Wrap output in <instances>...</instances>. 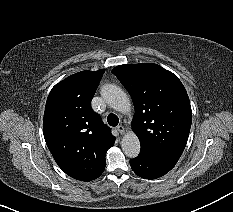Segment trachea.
<instances>
[{
    "mask_svg": "<svg viewBox=\"0 0 233 212\" xmlns=\"http://www.w3.org/2000/svg\"><path fill=\"white\" fill-rule=\"evenodd\" d=\"M107 122L110 126H117L119 123V118L115 114H109L107 117Z\"/></svg>",
    "mask_w": 233,
    "mask_h": 212,
    "instance_id": "obj_1",
    "label": "trachea"
}]
</instances>
